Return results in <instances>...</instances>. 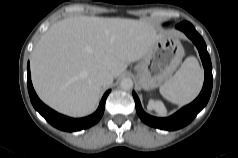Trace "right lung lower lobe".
Here are the masks:
<instances>
[{"instance_id":"right-lung-lower-lobe-1","label":"right lung lower lobe","mask_w":238,"mask_h":158,"mask_svg":"<svg viewBox=\"0 0 238 158\" xmlns=\"http://www.w3.org/2000/svg\"><path fill=\"white\" fill-rule=\"evenodd\" d=\"M27 84H28V92L30 96V100L34 106V108L54 127L63 130V131H77L81 129H86L88 127H91L92 125L96 124L102 117L104 108H105V102L108 94L110 93V90H108L97 109V111L85 118L80 119H73L69 118L67 116L61 115L49 107H47L45 104H43L40 99L37 97L33 86L31 82V75H30V66L29 62L27 65Z\"/></svg>"}]
</instances>
